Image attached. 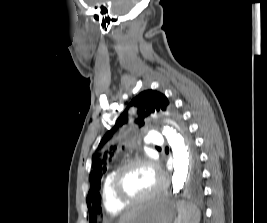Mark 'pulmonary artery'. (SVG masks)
<instances>
[{"label": "pulmonary artery", "mask_w": 267, "mask_h": 223, "mask_svg": "<svg viewBox=\"0 0 267 223\" xmlns=\"http://www.w3.org/2000/svg\"><path fill=\"white\" fill-rule=\"evenodd\" d=\"M147 142L150 144V145H154V146H161L163 144V141L162 139L155 135V134H150L147 136Z\"/></svg>", "instance_id": "obj_1"}]
</instances>
